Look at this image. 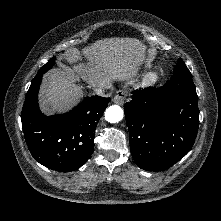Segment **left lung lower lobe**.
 Wrapping results in <instances>:
<instances>
[{
    "label": "left lung lower lobe",
    "instance_id": "1",
    "mask_svg": "<svg viewBox=\"0 0 221 221\" xmlns=\"http://www.w3.org/2000/svg\"><path fill=\"white\" fill-rule=\"evenodd\" d=\"M124 110L131 154L141 169L163 171L191 150L199 126L192 76H177L162 87L136 90Z\"/></svg>",
    "mask_w": 221,
    "mask_h": 221
}]
</instances>
